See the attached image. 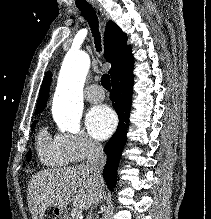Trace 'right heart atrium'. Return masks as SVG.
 <instances>
[{
    "label": "right heart atrium",
    "instance_id": "1",
    "mask_svg": "<svg viewBox=\"0 0 211 219\" xmlns=\"http://www.w3.org/2000/svg\"><path fill=\"white\" fill-rule=\"evenodd\" d=\"M58 142L71 162H81L101 153V144L84 131L61 133L56 136Z\"/></svg>",
    "mask_w": 211,
    "mask_h": 219
}]
</instances>
